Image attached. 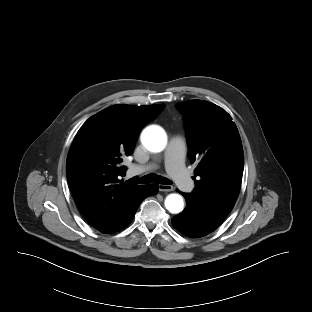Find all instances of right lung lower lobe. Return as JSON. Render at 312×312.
Returning a JSON list of instances; mask_svg holds the SVG:
<instances>
[{
	"label": "right lung lower lobe",
	"mask_w": 312,
	"mask_h": 312,
	"mask_svg": "<svg viewBox=\"0 0 312 312\" xmlns=\"http://www.w3.org/2000/svg\"><path fill=\"white\" fill-rule=\"evenodd\" d=\"M158 192V185L151 184V185H143L142 188L139 190L135 198L132 202L128 205L127 209L123 213V215L112 225L109 227L100 230L104 233H114L116 231L121 230L122 228L126 227L134 218L136 210L138 209L140 203L148 196L154 195Z\"/></svg>",
	"instance_id": "1"
}]
</instances>
